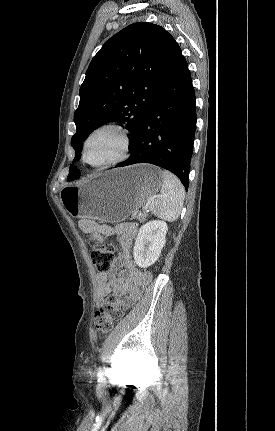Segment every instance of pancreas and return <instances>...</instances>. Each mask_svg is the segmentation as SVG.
Instances as JSON below:
<instances>
[{"label": "pancreas", "instance_id": "pancreas-1", "mask_svg": "<svg viewBox=\"0 0 275 431\" xmlns=\"http://www.w3.org/2000/svg\"><path fill=\"white\" fill-rule=\"evenodd\" d=\"M138 221L143 222L145 220V218L147 217L146 213H142V214H137L134 216Z\"/></svg>", "mask_w": 275, "mask_h": 431}]
</instances>
